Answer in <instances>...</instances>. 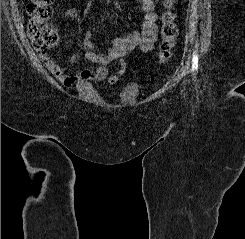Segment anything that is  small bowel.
<instances>
[{
    "instance_id": "obj_1",
    "label": "small bowel",
    "mask_w": 245,
    "mask_h": 239,
    "mask_svg": "<svg viewBox=\"0 0 245 239\" xmlns=\"http://www.w3.org/2000/svg\"><path fill=\"white\" fill-rule=\"evenodd\" d=\"M137 1L140 3L144 14L140 31H131L117 37L107 53L96 51L95 45L91 41V31L84 33L80 42V46L84 50L82 56L89 62L97 64V68L83 69L71 75L65 67L59 65L49 55L40 57L45 67L66 87H72L78 83L89 81H106L109 85H115L119 78L126 73L124 58L137 49L142 52L152 51L156 41L158 0ZM113 5L116 9L120 8L117 2H114ZM60 15L67 19H75L78 16V12L75 8L71 7L63 10ZM79 58L80 55H75L71 58V62L74 63ZM114 62H118V66L116 70L110 72L109 66Z\"/></svg>"
}]
</instances>
